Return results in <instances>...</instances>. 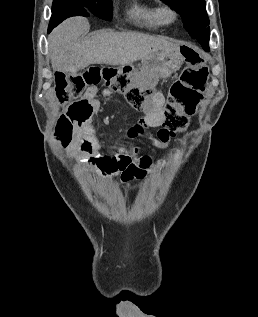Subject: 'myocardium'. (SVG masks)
<instances>
[{
  "instance_id": "1",
  "label": "myocardium",
  "mask_w": 258,
  "mask_h": 317,
  "mask_svg": "<svg viewBox=\"0 0 258 317\" xmlns=\"http://www.w3.org/2000/svg\"><path fill=\"white\" fill-rule=\"evenodd\" d=\"M158 17L162 23L169 24L175 20L176 13L170 5H164L158 10Z\"/></svg>"
}]
</instances>
